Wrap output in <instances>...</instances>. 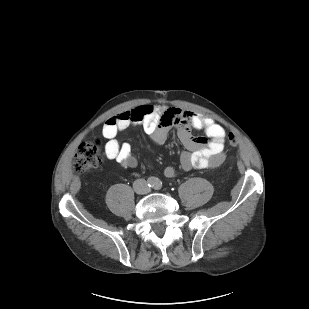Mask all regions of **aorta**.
Instances as JSON below:
<instances>
[{
    "mask_svg": "<svg viewBox=\"0 0 309 309\" xmlns=\"http://www.w3.org/2000/svg\"><path fill=\"white\" fill-rule=\"evenodd\" d=\"M159 182L158 178H154V183L153 185H156Z\"/></svg>",
    "mask_w": 309,
    "mask_h": 309,
    "instance_id": "1",
    "label": "aorta"
}]
</instances>
